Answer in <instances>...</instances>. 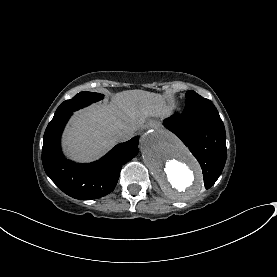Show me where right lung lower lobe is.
<instances>
[{"instance_id": "98d812e1", "label": "right lung lower lobe", "mask_w": 277, "mask_h": 277, "mask_svg": "<svg viewBox=\"0 0 277 277\" xmlns=\"http://www.w3.org/2000/svg\"><path fill=\"white\" fill-rule=\"evenodd\" d=\"M71 113L52 120L45 131L42 163L46 174L67 195L81 200L103 197L112 192L122 166L138 153V136L118 144L100 160L77 164L67 160L60 148V138Z\"/></svg>"}]
</instances>
